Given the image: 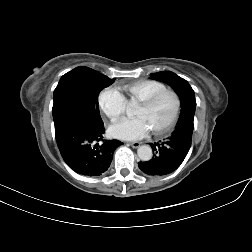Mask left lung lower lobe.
Instances as JSON below:
<instances>
[{
  "instance_id": "0a47b994",
  "label": "left lung lower lobe",
  "mask_w": 252,
  "mask_h": 252,
  "mask_svg": "<svg viewBox=\"0 0 252 252\" xmlns=\"http://www.w3.org/2000/svg\"><path fill=\"white\" fill-rule=\"evenodd\" d=\"M193 121L191 118H182L170 137L151 144L153 157L149 161L139 162V168L150 176H162L175 171L191 147Z\"/></svg>"
}]
</instances>
